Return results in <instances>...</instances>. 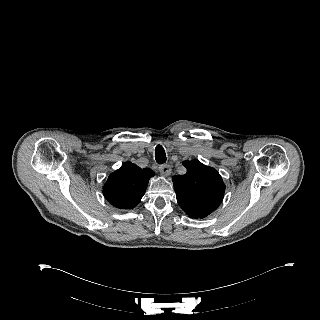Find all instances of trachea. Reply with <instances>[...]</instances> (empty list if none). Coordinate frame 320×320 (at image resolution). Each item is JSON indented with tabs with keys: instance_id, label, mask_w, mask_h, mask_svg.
Returning <instances> with one entry per match:
<instances>
[{
	"instance_id": "trachea-1",
	"label": "trachea",
	"mask_w": 320,
	"mask_h": 320,
	"mask_svg": "<svg viewBox=\"0 0 320 320\" xmlns=\"http://www.w3.org/2000/svg\"><path fill=\"white\" fill-rule=\"evenodd\" d=\"M155 159L158 164H164L166 162L165 150L161 145H157L155 148Z\"/></svg>"
}]
</instances>
